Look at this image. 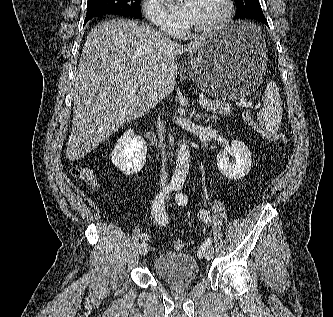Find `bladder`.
<instances>
[{"instance_id": "obj_1", "label": "bladder", "mask_w": 333, "mask_h": 317, "mask_svg": "<svg viewBox=\"0 0 333 317\" xmlns=\"http://www.w3.org/2000/svg\"><path fill=\"white\" fill-rule=\"evenodd\" d=\"M152 267L160 279L176 285L191 283L200 274L196 259L184 252L158 254L153 260Z\"/></svg>"}]
</instances>
